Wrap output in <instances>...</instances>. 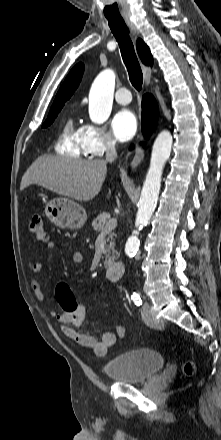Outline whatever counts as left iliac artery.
I'll return each mask as SVG.
<instances>
[{
  "label": "left iliac artery",
  "mask_w": 221,
  "mask_h": 440,
  "mask_svg": "<svg viewBox=\"0 0 221 440\" xmlns=\"http://www.w3.org/2000/svg\"><path fill=\"white\" fill-rule=\"evenodd\" d=\"M131 299L135 303V305L140 306L142 305V299L139 294H134L131 296Z\"/></svg>",
  "instance_id": "44dca946"
}]
</instances>
